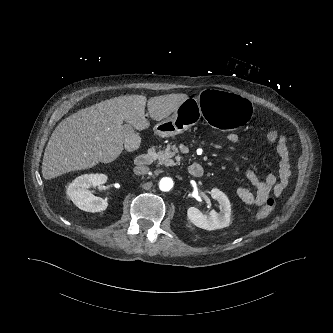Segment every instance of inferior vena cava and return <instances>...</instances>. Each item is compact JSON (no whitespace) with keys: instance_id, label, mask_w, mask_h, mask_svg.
Instances as JSON below:
<instances>
[{"instance_id":"602c4592","label":"inferior vena cava","mask_w":333,"mask_h":333,"mask_svg":"<svg viewBox=\"0 0 333 333\" xmlns=\"http://www.w3.org/2000/svg\"><path fill=\"white\" fill-rule=\"evenodd\" d=\"M147 171H148V167L144 166V165L135 166V168H134V173L136 175H144V174H146Z\"/></svg>"}]
</instances>
